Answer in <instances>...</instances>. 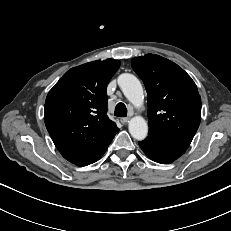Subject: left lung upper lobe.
<instances>
[{"instance_id":"obj_1","label":"left lung upper lobe","mask_w":231,"mask_h":231,"mask_svg":"<svg viewBox=\"0 0 231 231\" xmlns=\"http://www.w3.org/2000/svg\"><path fill=\"white\" fill-rule=\"evenodd\" d=\"M131 62L148 94V134L186 150L201 118L194 81L177 64L158 55L147 54Z\"/></svg>"}]
</instances>
